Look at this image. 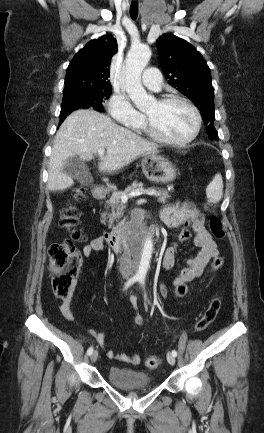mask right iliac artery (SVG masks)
Listing matches in <instances>:
<instances>
[{
    "instance_id": "right-iliac-artery-1",
    "label": "right iliac artery",
    "mask_w": 264,
    "mask_h": 433,
    "mask_svg": "<svg viewBox=\"0 0 264 433\" xmlns=\"http://www.w3.org/2000/svg\"><path fill=\"white\" fill-rule=\"evenodd\" d=\"M138 279L136 277H133L127 281L125 284V289H127L130 285H132L134 282H136ZM93 352V347H89L87 350V355H91Z\"/></svg>"
}]
</instances>
